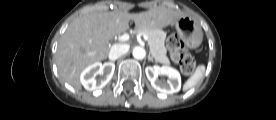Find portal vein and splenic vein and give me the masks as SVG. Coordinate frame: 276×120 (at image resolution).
I'll return each instance as SVG.
<instances>
[{"label": "portal vein and splenic vein", "mask_w": 276, "mask_h": 120, "mask_svg": "<svg viewBox=\"0 0 276 120\" xmlns=\"http://www.w3.org/2000/svg\"><path fill=\"white\" fill-rule=\"evenodd\" d=\"M129 38H130L129 34H123V35L119 36L118 40L121 41V42H125V41H128ZM144 39L146 41H148V37L145 34H144Z\"/></svg>", "instance_id": "portal-vein-and-splenic-vein-1"}]
</instances>
